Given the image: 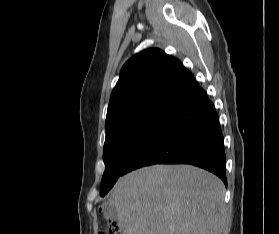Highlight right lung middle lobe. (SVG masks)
<instances>
[{"mask_svg": "<svg viewBox=\"0 0 279 234\" xmlns=\"http://www.w3.org/2000/svg\"><path fill=\"white\" fill-rule=\"evenodd\" d=\"M167 106L151 105L124 112L106 121L103 159L105 172L100 195L104 196L123 175L125 165L141 142L168 111Z\"/></svg>", "mask_w": 279, "mask_h": 234, "instance_id": "1", "label": "right lung middle lobe"}]
</instances>
